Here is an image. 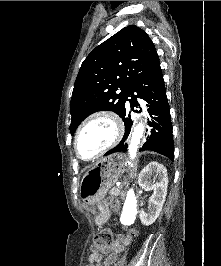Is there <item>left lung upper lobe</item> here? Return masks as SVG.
<instances>
[{
  "label": "left lung upper lobe",
  "mask_w": 221,
  "mask_h": 266,
  "mask_svg": "<svg viewBox=\"0 0 221 266\" xmlns=\"http://www.w3.org/2000/svg\"><path fill=\"white\" fill-rule=\"evenodd\" d=\"M160 64L147 33L130 25L94 48L83 61L70 102V133L90 114L110 110L122 116L128 91Z\"/></svg>",
  "instance_id": "left-lung-upper-lobe-1"
}]
</instances>
